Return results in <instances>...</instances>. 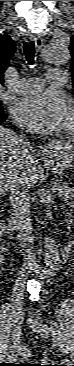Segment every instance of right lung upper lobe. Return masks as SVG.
Segmentation results:
<instances>
[{
  "instance_id": "right-lung-upper-lobe-1",
  "label": "right lung upper lobe",
  "mask_w": 74,
  "mask_h": 366,
  "mask_svg": "<svg viewBox=\"0 0 74 366\" xmlns=\"http://www.w3.org/2000/svg\"><path fill=\"white\" fill-rule=\"evenodd\" d=\"M16 51L14 41L8 35H0V86L4 83L3 74Z\"/></svg>"
}]
</instances>
